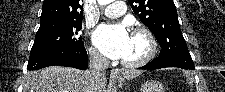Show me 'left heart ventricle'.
Returning <instances> with one entry per match:
<instances>
[{
    "label": "left heart ventricle",
    "mask_w": 225,
    "mask_h": 92,
    "mask_svg": "<svg viewBox=\"0 0 225 92\" xmlns=\"http://www.w3.org/2000/svg\"><path fill=\"white\" fill-rule=\"evenodd\" d=\"M148 51L146 39L141 35H130V41L127 52L123 60L136 61L141 59Z\"/></svg>",
    "instance_id": "1"
}]
</instances>
